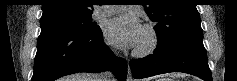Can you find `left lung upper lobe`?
Wrapping results in <instances>:
<instances>
[{"label":"left lung upper lobe","instance_id":"5c2ea615","mask_svg":"<svg viewBox=\"0 0 237 81\" xmlns=\"http://www.w3.org/2000/svg\"><path fill=\"white\" fill-rule=\"evenodd\" d=\"M144 6L149 18L156 23L159 45L183 35L203 33L195 0H150Z\"/></svg>","mask_w":237,"mask_h":81}]
</instances>
